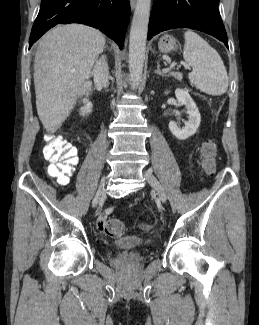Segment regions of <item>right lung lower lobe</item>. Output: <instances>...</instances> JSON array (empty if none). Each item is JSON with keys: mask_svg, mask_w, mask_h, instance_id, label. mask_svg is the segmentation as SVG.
I'll return each mask as SVG.
<instances>
[{"mask_svg": "<svg viewBox=\"0 0 259 325\" xmlns=\"http://www.w3.org/2000/svg\"><path fill=\"white\" fill-rule=\"evenodd\" d=\"M129 16V0H41L29 48L57 24L81 23L99 29L122 49Z\"/></svg>", "mask_w": 259, "mask_h": 325, "instance_id": "right-lung-lower-lobe-1", "label": "right lung lower lobe"}]
</instances>
